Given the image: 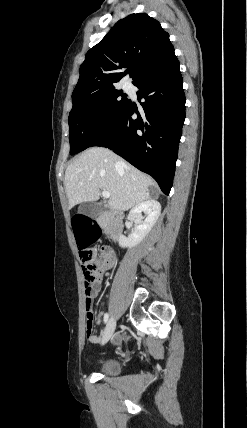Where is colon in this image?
Listing matches in <instances>:
<instances>
[{
	"label": "colon",
	"mask_w": 247,
	"mask_h": 428,
	"mask_svg": "<svg viewBox=\"0 0 247 428\" xmlns=\"http://www.w3.org/2000/svg\"><path fill=\"white\" fill-rule=\"evenodd\" d=\"M71 224L74 226V236L77 241L76 250L81 251L82 271L85 281V293L88 295L93 284L101 279L105 261L102 257L95 259L89 250V244L96 243L101 235L100 228L94 224L93 217H89L88 212H71ZM86 330L87 336L93 337L94 315L91 311V303L86 304Z\"/></svg>",
	"instance_id": "colon-1"
}]
</instances>
